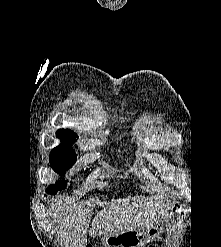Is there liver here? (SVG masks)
I'll use <instances>...</instances> for the list:
<instances>
[{
	"mask_svg": "<svg viewBox=\"0 0 221 247\" xmlns=\"http://www.w3.org/2000/svg\"><path fill=\"white\" fill-rule=\"evenodd\" d=\"M95 204L102 205L103 210L97 212L91 222L89 234L93 237L149 228L162 219L165 200L160 196L134 197L131 200L113 199L104 204L93 200L87 203L86 207L70 200L61 206H51L49 212L53 217V224L58 229L60 241L66 247H85L91 209Z\"/></svg>",
	"mask_w": 221,
	"mask_h": 247,
	"instance_id": "obj_1",
	"label": "liver"
}]
</instances>
